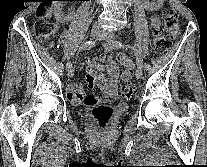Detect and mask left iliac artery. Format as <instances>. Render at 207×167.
I'll return each instance as SVG.
<instances>
[{
    "instance_id": "1",
    "label": "left iliac artery",
    "mask_w": 207,
    "mask_h": 167,
    "mask_svg": "<svg viewBox=\"0 0 207 167\" xmlns=\"http://www.w3.org/2000/svg\"><path fill=\"white\" fill-rule=\"evenodd\" d=\"M114 46H115L116 48H119V47L122 46V44H121L120 42H118V41H115ZM125 47H126V48H127V47H128V48H132V49H133V51H134V53H135V55H136L137 66L140 67V68H143V66H144L143 59H142L141 54H140V52L138 51V49H137L136 47H130L129 45H125Z\"/></svg>"
}]
</instances>
